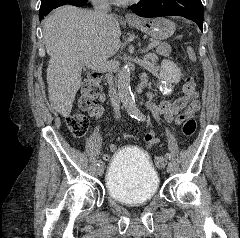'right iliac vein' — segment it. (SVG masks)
I'll return each instance as SVG.
<instances>
[{
    "label": "right iliac vein",
    "instance_id": "1",
    "mask_svg": "<svg viewBox=\"0 0 240 238\" xmlns=\"http://www.w3.org/2000/svg\"><path fill=\"white\" fill-rule=\"evenodd\" d=\"M97 173L98 175L102 176L103 173H104V166L103 165H100L98 168H97Z\"/></svg>",
    "mask_w": 240,
    "mask_h": 238
}]
</instances>
